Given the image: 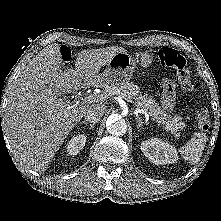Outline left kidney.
<instances>
[{
    "label": "left kidney",
    "mask_w": 221,
    "mask_h": 221,
    "mask_svg": "<svg viewBox=\"0 0 221 221\" xmlns=\"http://www.w3.org/2000/svg\"><path fill=\"white\" fill-rule=\"evenodd\" d=\"M143 154L156 165L175 163L178 160L176 148L167 141L151 138L141 143Z\"/></svg>",
    "instance_id": "1"
}]
</instances>
